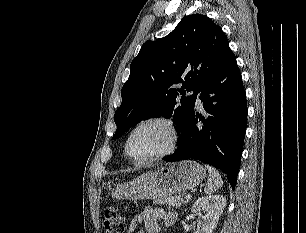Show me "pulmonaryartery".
I'll use <instances>...</instances> for the list:
<instances>
[{
	"instance_id": "e3ab8cb5",
	"label": "pulmonary artery",
	"mask_w": 306,
	"mask_h": 233,
	"mask_svg": "<svg viewBox=\"0 0 306 233\" xmlns=\"http://www.w3.org/2000/svg\"><path fill=\"white\" fill-rule=\"evenodd\" d=\"M196 103H197L198 107H201V106H202V105H201V100H200V98H199V95H198V97H197Z\"/></svg>"
}]
</instances>
